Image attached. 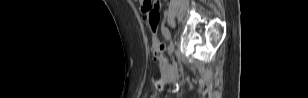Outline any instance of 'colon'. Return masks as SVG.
Returning a JSON list of instances; mask_svg holds the SVG:
<instances>
[{
	"label": "colon",
	"instance_id": "obj_1",
	"mask_svg": "<svg viewBox=\"0 0 308 98\" xmlns=\"http://www.w3.org/2000/svg\"><path fill=\"white\" fill-rule=\"evenodd\" d=\"M146 4L143 7V14L141 16V21L146 22V25L148 26V31L152 32V49L153 53L155 55V58L159 61H162V55L164 51V46L159 42V40L156 37V31H157V24L159 21V9H160V2L159 1H150L145 0Z\"/></svg>",
	"mask_w": 308,
	"mask_h": 98
}]
</instances>
